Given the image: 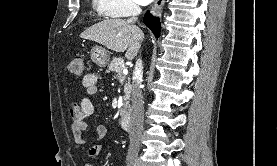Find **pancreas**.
<instances>
[{"mask_svg":"<svg viewBox=\"0 0 277 166\" xmlns=\"http://www.w3.org/2000/svg\"><path fill=\"white\" fill-rule=\"evenodd\" d=\"M108 69L114 72L115 79H121L123 76V70L125 69L124 59L123 58H114L110 64L108 65ZM130 81L128 80L126 84V95L124 96L125 103L123 104V108L121 109V115L126 117L130 113V106H129V97H130Z\"/></svg>","mask_w":277,"mask_h":166,"instance_id":"obj_1","label":"pancreas"}]
</instances>
